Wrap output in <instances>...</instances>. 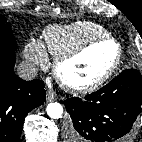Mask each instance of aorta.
Here are the masks:
<instances>
[{"instance_id": "aorta-1", "label": "aorta", "mask_w": 142, "mask_h": 142, "mask_svg": "<svg viewBox=\"0 0 142 142\" xmlns=\"http://www.w3.org/2000/svg\"><path fill=\"white\" fill-rule=\"evenodd\" d=\"M47 114L52 119L62 118L63 107L58 102L49 103L46 108Z\"/></svg>"}]
</instances>
